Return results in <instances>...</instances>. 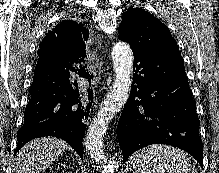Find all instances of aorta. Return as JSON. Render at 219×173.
Returning <instances> with one entry per match:
<instances>
[{
  "label": "aorta",
  "mask_w": 219,
  "mask_h": 173,
  "mask_svg": "<svg viewBox=\"0 0 219 173\" xmlns=\"http://www.w3.org/2000/svg\"><path fill=\"white\" fill-rule=\"evenodd\" d=\"M111 56L115 71L114 84L103 107L93 118L84 142L91 158L96 162L104 159V134L115 114L127 102L132 84L133 53L130 46L125 42L117 43Z\"/></svg>",
  "instance_id": "obj_1"
}]
</instances>
